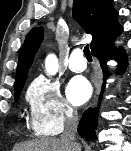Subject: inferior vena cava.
<instances>
[{
  "mask_svg": "<svg viewBox=\"0 0 131 151\" xmlns=\"http://www.w3.org/2000/svg\"><path fill=\"white\" fill-rule=\"evenodd\" d=\"M78 116L71 108L66 112L65 130L61 135V139L70 141L75 146V151H80L79 144L75 141V135L77 132Z\"/></svg>",
  "mask_w": 131,
  "mask_h": 151,
  "instance_id": "inferior-vena-cava-1",
  "label": "inferior vena cava"
}]
</instances>
